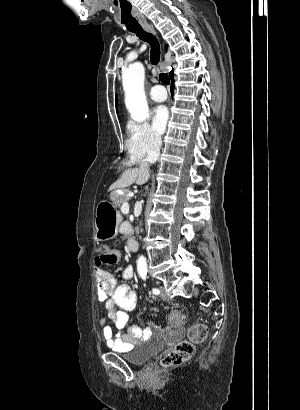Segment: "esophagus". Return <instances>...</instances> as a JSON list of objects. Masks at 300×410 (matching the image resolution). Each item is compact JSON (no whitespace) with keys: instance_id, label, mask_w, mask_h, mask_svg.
Segmentation results:
<instances>
[{"instance_id":"34e87169","label":"esophagus","mask_w":300,"mask_h":410,"mask_svg":"<svg viewBox=\"0 0 300 410\" xmlns=\"http://www.w3.org/2000/svg\"><path fill=\"white\" fill-rule=\"evenodd\" d=\"M145 29L149 32H152L153 34H156V31L152 25H146Z\"/></svg>"}]
</instances>
